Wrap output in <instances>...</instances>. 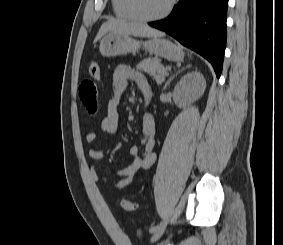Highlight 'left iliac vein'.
I'll return each instance as SVG.
<instances>
[{
	"mask_svg": "<svg viewBox=\"0 0 283 245\" xmlns=\"http://www.w3.org/2000/svg\"><path fill=\"white\" fill-rule=\"evenodd\" d=\"M165 226H166V222H165V224H164L162 229H160L158 232L153 234V236L151 237V242L156 241L161 236V234L163 233V231L165 229Z\"/></svg>",
	"mask_w": 283,
	"mask_h": 245,
	"instance_id": "1",
	"label": "left iliac vein"
}]
</instances>
